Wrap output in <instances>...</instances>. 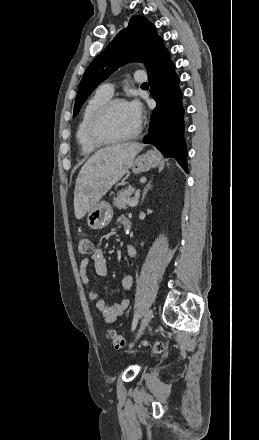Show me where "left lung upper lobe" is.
Returning <instances> with one entry per match:
<instances>
[{
  "instance_id": "1",
  "label": "left lung upper lobe",
  "mask_w": 259,
  "mask_h": 440,
  "mask_svg": "<svg viewBox=\"0 0 259 440\" xmlns=\"http://www.w3.org/2000/svg\"><path fill=\"white\" fill-rule=\"evenodd\" d=\"M162 42L155 26L145 17H132L128 27L118 33L85 71L79 84L73 116L78 114L91 92L120 66L131 61L144 62L147 66Z\"/></svg>"
}]
</instances>
